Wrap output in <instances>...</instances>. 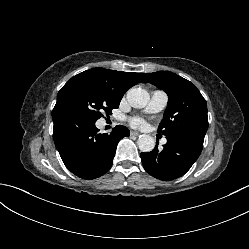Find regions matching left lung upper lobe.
Segmentation results:
<instances>
[{"label":"left lung upper lobe","instance_id":"left-lung-upper-lobe-1","mask_svg":"<svg viewBox=\"0 0 249 249\" xmlns=\"http://www.w3.org/2000/svg\"><path fill=\"white\" fill-rule=\"evenodd\" d=\"M144 83H151L168 95L158 132L165 136L177 133L205 136L208 129L207 103L193 83L169 71L145 73Z\"/></svg>","mask_w":249,"mask_h":249}]
</instances>
